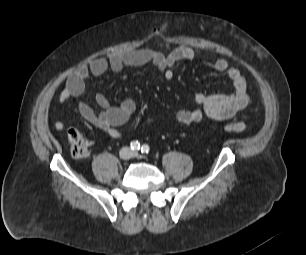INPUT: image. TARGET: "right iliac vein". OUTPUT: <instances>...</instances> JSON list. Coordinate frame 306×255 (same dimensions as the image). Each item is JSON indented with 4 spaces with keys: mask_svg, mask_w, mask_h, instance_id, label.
I'll use <instances>...</instances> for the list:
<instances>
[{
    "mask_svg": "<svg viewBox=\"0 0 306 255\" xmlns=\"http://www.w3.org/2000/svg\"><path fill=\"white\" fill-rule=\"evenodd\" d=\"M121 158L123 159H128L131 157V152L129 149H124L122 150V152L120 153Z\"/></svg>",
    "mask_w": 306,
    "mask_h": 255,
    "instance_id": "right-iliac-vein-1",
    "label": "right iliac vein"
}]
</instances>
